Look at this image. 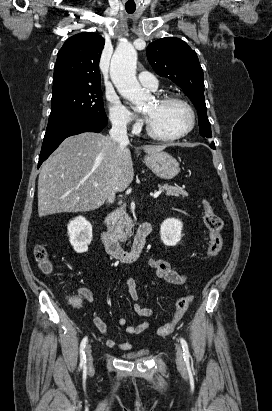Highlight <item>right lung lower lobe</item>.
<instances>
[{
    "instance_id": "98d812e1",
    "label": "right lung lower lobe",
    "mask_w": 272,
    "mask_h": 411,
    "mask_svg": "<svg viewBox=\"0 0 272 411\" xmlns=\"http://www.w3.org/2000/svg\"><path fill=\"white\" fill-rule=\"evenodd\" d=\"M107 125V120H95L89 118L75 119L59 127L46 130L38 167L45 161L49 155L59 146L67 137L83 132H100Z\"/></svg>"
}]
</instances>
